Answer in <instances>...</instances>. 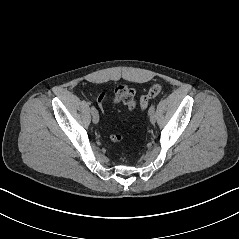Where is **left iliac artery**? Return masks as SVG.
Returning <instances> with one entry per match:
<instances>
[{
  "label": "left iliac artery",
  "mask_w": 239,
  "mask_h": 239,
  "mask_svg": "<svg viewBox=\"0 0 239 239\" xmlns=\"http://www.w3.org/2000/svg\"><path fill=\"white\" fill-rule=\"evenodd\" d=\"M154 111H155V105L153 104V105H151V107L149 108L148 113L150 114V113H152V112H154Z\"/></svg>",
  "instance_id": "left-iliac-artery-1"
}]
</instances>
